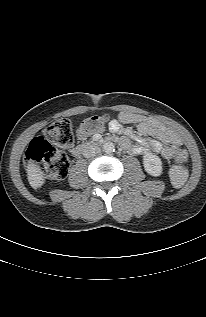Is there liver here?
Segmentation results:
<instances>
[{"label":"liver","mask_w":206,"mask_h":317,"mask_svg":"<svg viewBox=\"0 0 206 317\" xmlns=\"http://www.w3.org/2000/svg\"><path fill=\"white\" fill-rule=\"evenodd\" d=\"M26 171L29 184L32 188L37 189L44 184V174L37 165L29 162Z\"/></svg>","instance_id":"liver-1"}]
</instances>
